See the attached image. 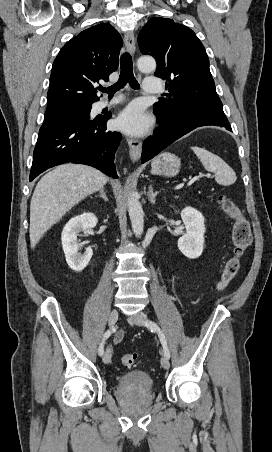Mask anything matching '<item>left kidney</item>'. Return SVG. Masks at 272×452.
<instances>
[{"instance_id":"left-kidney-1","label":"left kidney","mask_w":272,"mask_h":452,"mask_svg":"<svg viewBox=\"0 0 272 452\" xmlns=\"http://www.w3.org/2000/svg\"><path fill=\"white\" fill-rule=\"evenodd\" d=\"M181 218L186 228V234L178 239V248L189 259L201 256L204 247V216L193 207H185Z\"/></svg>"}]
</instances>
